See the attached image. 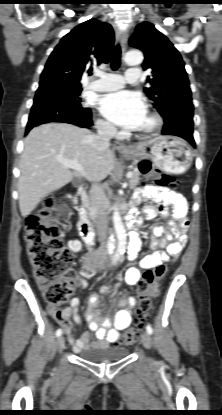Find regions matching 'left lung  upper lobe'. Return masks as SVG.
Here are the masks:
<instances>
[{
    "label": "left lung upper lobe",
    "instance_id": "obj_1",
    "mask_svg": "<svg viewBox=\"0 0 222 415\" xmlns=\"http://www.w3.org/2000/svg\"><path fill=\"white\" fill-rule=\"evenodd\" d=\"M130 45L143 51L144 70L151 71L144 92L154 107L166 119L182 115L183 103L192 102L185 63L178 50L154 25L143 22L137 25Z\"/></svg>",
    "mask_w": 222,
    "mask_h": 415
}]
</instances>
